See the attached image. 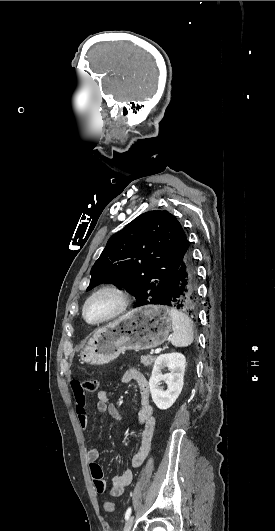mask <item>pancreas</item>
<instances>
[{
    "label": "pancreas",
    "instance_id": "pancreas-1",
    "mask_svg": "<svg viewBox=\"0 0 275 531\" xmlns=\"http://www.w3.org/2000/svg\"><path fill=\"white\" fill-rule=\"evenodd\" d=\"M154 361H156V357H151V355H143L140 359V363H143L145 367H150Z\"/></svg>",
    "mask_w": 275,
    "mask_h": 531
}]
</instances>
